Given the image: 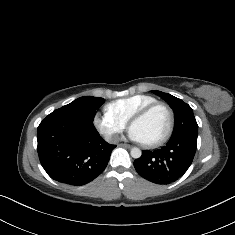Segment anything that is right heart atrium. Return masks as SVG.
<instances>
[{"instance_id":"1","label":"right heart atrium","mask_w":235,"mask_h":235,"mask_svg":"<svg viewBox=\"0 0 235 235\" xmlns=\"http://www.w3.org/2000/svg\"><path fill=\"white\" fill-rule=\"evenodd\" d=\"M92 122L97 131L110 141L122 133L128 125L127 120L113 112L110 104L104 105L100 111L94 113Z\"/></svg>"}]
</instances>
